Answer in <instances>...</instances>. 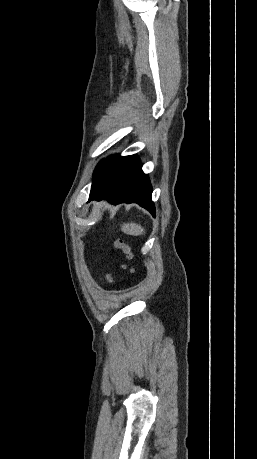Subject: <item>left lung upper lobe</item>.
I'll use <instances>...</instances> for the list:
<instances>
[{
  "mask_svg": "<svg viewBox=\"0 0 257 459\" xmlns=\"http://www.w3.org/2000/svg\"><path fill=\"white\" fill-rule=\"evenodd\" d=\"M99 166H100V163L97 165V167H96V169L94 171V180L97 177V174H98V171H99Z\"/></svg>",
  "mask_w": 257,
  "mask_h": 459,
  "instance_id": "obj_1",
  "label": "left lung upper lobe"
}]
</instances>
